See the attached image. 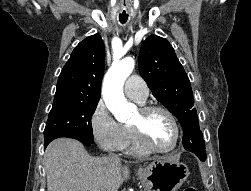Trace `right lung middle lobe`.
<instances>
[{"instance_id": "dd1d6c3e", "label": "right lung middle lobe", "mask_w": 251, "mask_h": 191, "mask_svg": "<svg viewBox=\"0 0 251 191\" xmlns=\"http://www.w3.org/2000/svg\"><path fill=\"white\" fill-rule=\"evenodd\" d=\"M98 102L53 106L44 130V144L59 137H79L94 142L91 117Z\"/></svg>"}]
</instances>
